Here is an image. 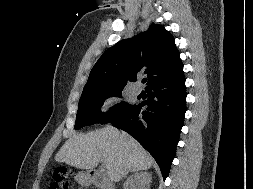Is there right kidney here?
I'll return each instance as SVG.
<instances>
[{"instance_id":"obj_1","label":"right kidney","mask_w":253,"mask_h":189,"mask_svg":"<svg viewBox=\"0 0 253 189\" xmlns=\"http://www.w3.org/2000/svg\"><path fill=\"white\" fill-rule=\"evenodd\" d=\"M151 179L148 172L134 173L127 179L125 189H150Z\"/></svg>"}]
</instances>
